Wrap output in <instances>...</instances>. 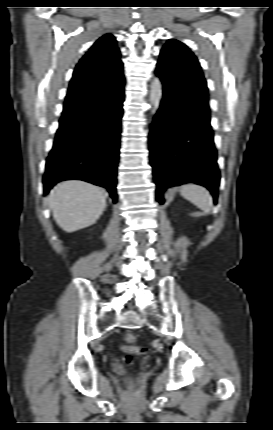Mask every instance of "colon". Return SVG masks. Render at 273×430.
I'll return each mask as SVG.
<instances>
[{
    "label": "colon",
    "mask_w": 273,
    "mask_h": 430,
    "mask_svg": "<svg viewBox=\"0 0 273 430\" xmlns=\"http://www.w3.org/2000/svg\"><path fill=\"white\" fill-rule=\"evenodd\" d=\"M124 340L125 342H127L128 344H132L136 341V337L133 333L127 332L124 334ZM143 352L142 349L137 348V347H132L129 349H126L125 352V361L127 363H130L132 360L133 355L135 354H141Z\"/></svg>",
    "instance_id": "5ec220e1"
}]
</instances>
